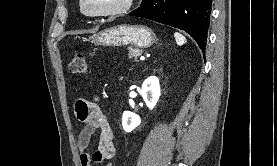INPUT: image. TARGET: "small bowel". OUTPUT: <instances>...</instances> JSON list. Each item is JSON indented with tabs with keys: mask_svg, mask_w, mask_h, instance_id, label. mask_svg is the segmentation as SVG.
Returning a JSON list of instances; mask_svg holds the SVG:
<instances>
[{
	"mask_svg": "<svg viewBox=\"0 0 277 166\" xmlns=\"http://www.w3.org/2000/svg\"><path fill=\"white\" fill-rule=\"evenodd\" d=\"M75 115L83 125L77 140L80 165L97 166L104 160H113L116 154L113 132L97 102L78 100L75 104ZM97 131L98 145L96 150L90 153L88 148ZM107 166H113V163L110 162Z\"/></svg>",
	"mask_w": 277,
	"mask_h": 166,
	"instance_id": "c3829d8e",
	"label": "small bowel"
}]
</instances>
